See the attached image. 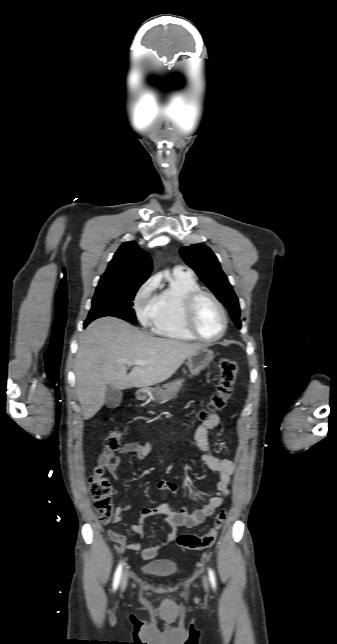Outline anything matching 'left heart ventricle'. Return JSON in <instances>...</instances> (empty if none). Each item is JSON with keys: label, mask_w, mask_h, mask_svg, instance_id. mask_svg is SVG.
<instances>
[{"label": "left heart ventricle", "mask_w": 337, "mask_h": 644, "mask_svg": "<svg viewBox=\"0 0 337 644\" xmlns=\"http://www.w3.org/2000/svg\"><path fill=\"white\" fill-rule=\"evenodd\" d=\"M222 323L217 305L210 298L203 297L196 309L195 324L198 332L205 338H214L220 333Z\"/></svg>", "instance_id": "left-heart-ventricle-1"}]
</instances>
